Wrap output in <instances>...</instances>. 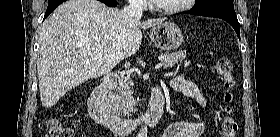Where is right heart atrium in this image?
Instances as JSON below:
<instances>
[{"label":"right heart atrium","instance_id":"d8ad5b80","mask_svg":"<svg viewBox=\"0 0 280 137\" xmlns=\"http://www.w3.org/2000/svg\"><path fill=\"white\" fill-rule=\"evenodd\" d=\"M133 6L137 8H145L146 0H133Z\"/></svg>","mask_w":280,"mask_h":137}]
</instances>
